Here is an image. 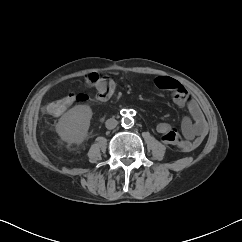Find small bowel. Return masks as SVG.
Returning a JSON list of instances; mask_svg holds the SVG:
<instances>
[{
  "label": "small bowel",
  "instance_id": "obj_1",
  "mask_svg": "<svg viewBox=\"0 0 242 242\" xmlns=\"http://www.w3.org/2000/svg\"><path fill=\"white\" fill-rule=\"evenodd\" d=\"M95 78L94 83L91 82ZM87 85H95L99 91L101 88L108 89L112 94L115 89V83L108 77H99L96 73H90L86 77ZM155 86L162 90L170 91L174 103L178 107H185L189 111L192 119L184 117L181 122L180 135L176 129L168 122L157 124V131L161 134L162 141L166 144L178 147L184 152H189L197 148L207 134V122L197 104L196 100L189 91L176 79L171 77H158L155 80ZM69 106L75 101L73 95L66 96Z\"/></svg>",
  "mask_w": 242,
  "mask_h": 242
}]
</instances>
